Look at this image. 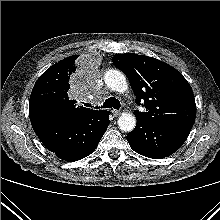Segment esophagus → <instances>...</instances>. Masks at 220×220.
I'll return each instance as SVG.
<instances>
[{
	"instance_id": "1",
	"label": "esophagus",
	"mask_w": 220,
	"mask_h": 220,
	"mask_svg": "<svg viewBox=\"0 0 220 220\" xmlns=\"http://www.w3.org/2000/svg\"><path fill=\"white\" fill-rule=\"evenodd\" d=\"M112 113L115 117H117L121 114V111L120 110H112Z\"/></svg>"
}]
</instances>
